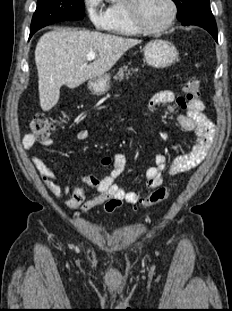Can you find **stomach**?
Instances as JSON below:
<instances>
[{
    "mask_svg": "<svg viewBox=\"0 0 232 311\" xmlns=\"http://www.w3.org/2000/svg\"><path fill=\"white\" fill-rule=\"evenodd\" d=\"M146 63L154 68H166L178 60V50L169 41L155 39L143 48ZM88 89L95 95H103L110 89V75L105 74L88 81Z\"/></svg>",
    "mask_w": 232,
    "mask_h": 311,
    "instance_id": "0dacf381",
    "label": "stomach"
}]
</instances>
